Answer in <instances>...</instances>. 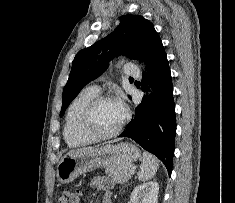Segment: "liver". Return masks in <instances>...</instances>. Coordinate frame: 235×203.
I'll list each match as a JSON object with an SVG mask.
<instances>
[{
	"label": "liver",
	"mask_w": 235,
	"mask_h": 203,
	"mask_svg": "<svg viewBox=\"0 0 235 203\" xmlns=\"http://www.w3.org/2000/svg\"><path fill=\"white\" fill-rule=\"evenodd\" d=\"M85 149H94V147L83 148V149H80V150H85ZM76 151H79V150H72V151L69 152V154H70V153H74V152H76Z\"/></svg>",
	"instance_id": "1"
}]
</instances>
